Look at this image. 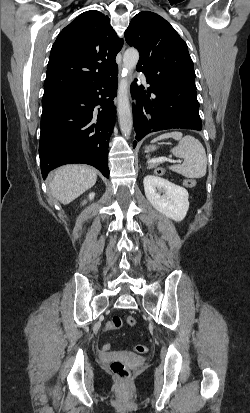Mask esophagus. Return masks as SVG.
Wrapping results in <instances>:
<instances>
[{"mask_svg":"<svg viewBox=\"0 0 250 413\" xmlns=\"http://www.w3.org/2000/svg\"><path fill=\"white\" fill-rule=\"evenodd\" d=\"M124 48H125V45H124L123 49H124ZM121 69H122V68H121V66H120V67H119V72H121Z\"/></svg>","mask_w":250,"mask_h":413,"instance_id":"34e87169","label":"esophagus"}]
</instances>
